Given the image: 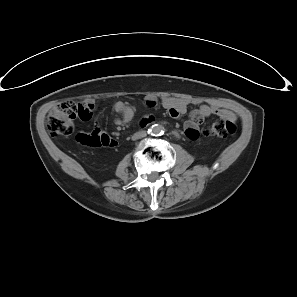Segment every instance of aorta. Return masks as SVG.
Masks as SVG:
<instances>
[{"instance_id":"1","label":"aorta","mask_w":297,"mask_h":297,"mask_svg":"<svg viewBox=\"0 0 297 297\" xmlns=\"http://www.w3.org/2000/svg\"><path fill=\"white\" fill-rule=\"evenodd\" d=\"M151 134L154 136H160L164 134V127L160 124H155L151 127Z\"/></svg>"}]
</instances>
